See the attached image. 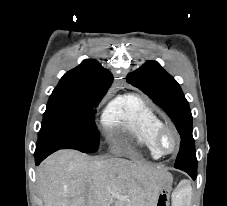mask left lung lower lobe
<instances>
[{
    "mask_svg": "<svg viewBox=\"0 0 227 206\" xmlns=\"http://www.w3.org/2000/svg\"><path fill=\"white\" fill-rule=\"evenodd\" d=\"M178 169H181L187 172L192 177V179H196L197 177V167H189V168L182 167Z\"/></svg>",
    "mask_w": 227,
    "mask_h": 206,
    "instance_id": "0a47b994",
    "label": "left lung lower lobe"
}]
</instances>
